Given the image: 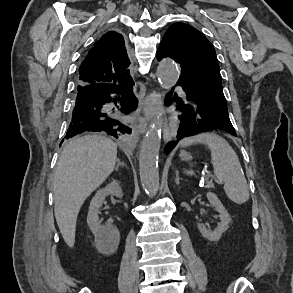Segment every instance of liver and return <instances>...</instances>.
<instances>
[{
	"label": "liver",
	"mask_w": 293,
	"mask_h": 293,
	"mask_svg": "<svg viewBox=\"0 0 293 293\" xmlns=\"http://www.w3.org/2000/svg\"><path fill=\"white\" fill-rule=\"evenodd\" d=\"M117 145L101 135H86L63 149L54 175V213L69 247L75 243L76 221L84 201L113 172Z\"/></svg>",
	"instance_id": "liver-1"
}]
</instances>
